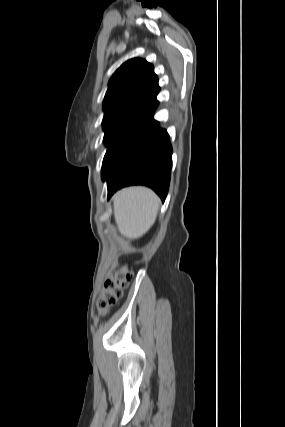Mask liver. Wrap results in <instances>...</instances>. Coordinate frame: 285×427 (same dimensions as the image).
Here are the masks:
<instances>
[{
    "mask_svg": "<svg viewBox=\"0 0 285 427\" xmlns=\"http://www.w3.org/2000/svg\"><path fill=\"white\" fill-rule=\"evenodd\" d=\"M114 217L121 235L128 239L143 236L154 224L160 200L146 187H129L113 197Z\"/></svg>",
    "mask_w": 285,
    "mask_h": 427,
    "instance_id": "6515ba94",
    "label": "liver"
}]
</instances>
